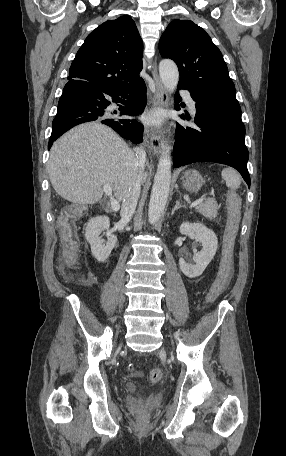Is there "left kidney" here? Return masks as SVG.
<instances>
[{
    "instance_id": "1",
    "label": "left kidney",
    "mask_w": 286,
    "mask_h": 456,
    "mask_svg": "<svg viewBox=\"0 0 286 456\" xmlns=\"http://www.w3.org/2000/svg\"><path fill=\"white\" fill-rule=\"evenodd\" d=\"M179 231L183 235H188L202 244V249L194 256L195 264L187 263L184 258L179 259L181 271L189 278L200 276L213 259L218 239L215 233L208 229L202 223L184 222L181 224Z\"/></svg>"
}]
</instances>
